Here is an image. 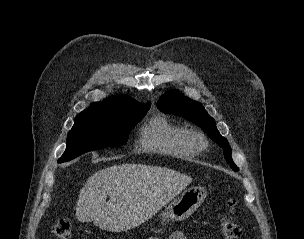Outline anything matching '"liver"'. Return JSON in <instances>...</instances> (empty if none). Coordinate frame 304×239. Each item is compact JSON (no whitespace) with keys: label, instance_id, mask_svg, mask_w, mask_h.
I'll return each mask as SVG.
<instances>
[{"label":"liver","instance_id":"liver-1","mask_svg":"<svg viewBox=\"0 0 304 239\" xmlns=\"http://www.w3.org/2000/svg\"><path fill=\"white\" fill-rule=\"evenodd\" d=\"M191 182L188 175L166 167L114 165L88 178L79 192L76 217L110 232L130 230L150 219Z\"/></svg>","mask_w":304,"mask_h":239}]
</instances>
